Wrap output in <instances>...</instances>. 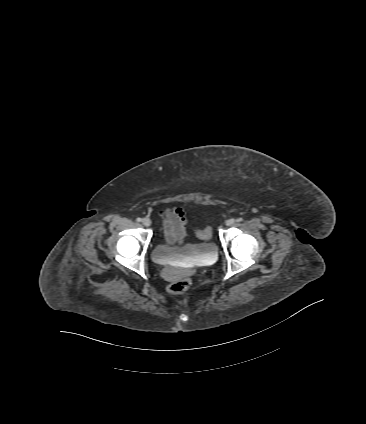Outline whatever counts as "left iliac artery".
Segmentation results:
<instances>
[{
    "instance_id": "obj_1",
    "label": "left iliac artery",
    "mask_w": 366,
    "mask_h": 424,
    "mask_svg": "<svg viewBox=\"0 0 366 424\" xmlns=\"http://www.w3.org/2000/svg\"><path fill=\"white\" fill-rule=\"evenodd\" d=\"M243 221V219L242 218H238L237 219V222H242Z\"/></svg>"
}]
</instances>
